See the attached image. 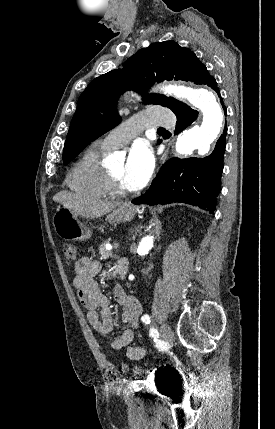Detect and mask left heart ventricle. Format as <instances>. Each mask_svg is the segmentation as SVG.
<instances>
[{
	"mask_svg": "<svg viewBox=\"0 0 275 429\" xmlns=\"http://www.w3.org/2000/svg\"><path fill=\"white\" fill-rule=\"evenodd\" d=\"M111 173L119 180L121 186L129 190L124 183L125 163L120 162L110 168Z\"/></svg>",
	"mask_w": 275,
	"mask_h": 429,
	"instance_id": "left-heart-ventricle-1",
	"label": "left heart ventricle"
}]
</instances>
